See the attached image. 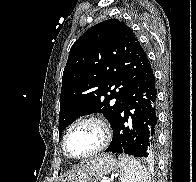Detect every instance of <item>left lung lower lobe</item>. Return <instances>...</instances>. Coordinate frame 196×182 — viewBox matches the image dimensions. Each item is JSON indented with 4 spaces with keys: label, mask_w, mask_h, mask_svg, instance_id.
<instances>
[{
    "label": "left lung lower lobe",
    "mask_w": 196,
    "mask_h": 182,
    "mask_svg": "<svg viewBox=\"0 0 196 182\" xmlns=\"http://www.w3.org/2000/svg\"><path fill=\"white\" fill-rule=\"evenodd\" d=\"M157 146V89L151 65L126 95L105 152L152 159Z\"/></svg>",
    "instance_id": "left-lung-lower-lobe-1"
}]
</instances>
